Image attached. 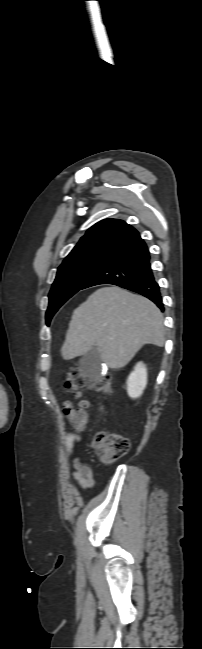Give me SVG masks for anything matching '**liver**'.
<instances>
[{"mask_svg": "<svg viewBox=\"0 0 202 649\" xmlns=\"http://www.w3.org/2000/svg\"><path fill=\"white\" fill-rule=\"evenodd\" d=\"M160 309L149 299L120 287H103L72 314L61 353L65 360L84 355L94 345L110 368L124 367L145 345L163 347Z\"/></svg>", "mask_w": 202, "mask_h": 649, "instance_id": "liver-1", "label": "liver"}]
</instances>
